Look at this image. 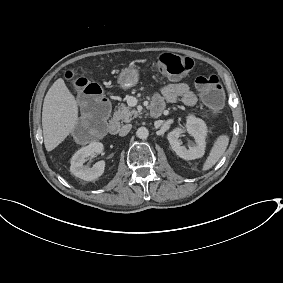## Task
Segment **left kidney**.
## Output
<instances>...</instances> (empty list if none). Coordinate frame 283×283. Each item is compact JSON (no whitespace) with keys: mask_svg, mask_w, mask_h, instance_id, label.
<instances>
[{"mask_svg":"<svg viewBox=\"0 0 283 283\" xmlns=\"http://www.w3.org/2000/svg\"><path fill=\"white\" fill-rule=\"evenodd\" d=\"M184 133H188L195 139V143L190 144L188 149L179 143V137ZM207 134V128L205 123L194 117H190L186 123V126H178L167 134V140L172 147V150L184 160H194L204 155L205 151V136Z\"/></svg>","mask_w":283,"mask_h":283,"instance_id":"1","label":"left kidney"}]
</instances>
